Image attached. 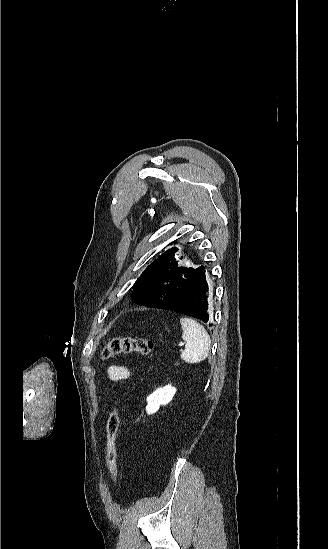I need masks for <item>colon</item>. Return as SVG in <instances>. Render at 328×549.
I'll list each match as a JSON object with an SVG mask.
<instances>
[{"mask_svg":"<svg viewBox=\"0 0 328 549\" xmlns=\"http://www.w3.org/2000/svg\"><path fill=\"white\" fill-rule=\"evenodd\" d=\"M154 350V344L142 337H114L108 341L102 350V358L117 355L140 354L149 355ZM120 412L114 409L107 421L106 427V463L111 481L115 484L118 479L117 465V436L120 428Z\"/></svg>","mask_w":328,"mask_h":549,"instance_id":"1","label":"colon"}]
</instances>
